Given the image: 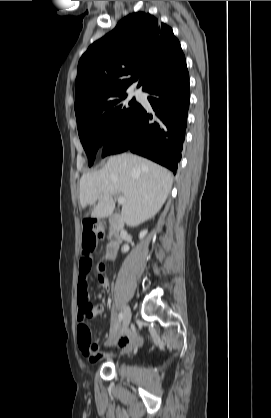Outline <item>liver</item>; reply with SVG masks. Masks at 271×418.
<instances>
[{"mask_svg": "<svg viewBox=\"0 0 271 418\" xmlns=\"http://www.w3.org/2000/svg\"><path fill=\"white\" fill-rule=\"evenodd\" d=\"M173 183L166 168L140 156L123 153L108 158L99 171L84 174L80 179V204L83 208L98 201L91 216L106 218L112 215L113 197L126 199L120 218L136 227L153 218L165 203Z\"/></svg>", "mask_w": 271, "mask_h": 418, "instance_id": "obj_1", "label": "liver"}]
</instances>
